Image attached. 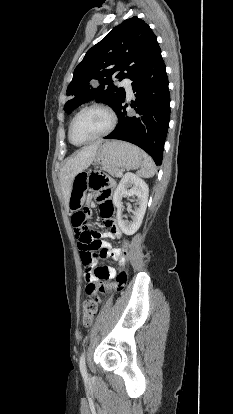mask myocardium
Wrapping results in <instances>:
<instances>
[{
  "mask_svg": "<svg viewBox=\"0 0 233 414\" xmlns=\"http://www.w3.org/2000/svg\"><path fill=\"white\" fill-rule=\"evenodd\" d=\"M92 109H96L99 110L101 112H103L107 118H108V126L106 127V129L104 131H102L101 133L97 134L96 136L85 140L83 142H75L72 138V129L74 126L75 121L77 120V118L85 111L88 110H92ZM117 116L115 114V112L108 106H105L103 104H98V103H93V104H89L86 105L84 107H82L72 118L70 125H69V139L70 141L75 144V145H85V144H89L92 143L94 141H97L99 139H102L104 137H106L107 135H109L116 127L117 125Z\"/></svg>",
  "mask_w": 233,
  "mask_h": 414,
  "instance_id": "1",
  "label": "myocardium"
}]
</instances>
